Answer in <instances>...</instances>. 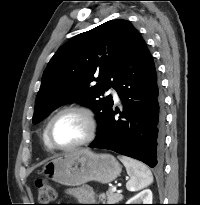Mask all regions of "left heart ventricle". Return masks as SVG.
Instances as JSON below:
<instances>
[{
    "label": "left heart ventricle",
    "mask_w": 200,
    "mask_h": 205,
    "mask_svg": "<svg viewBox=\"0 0 200 205\" xmlns=\"http://www.w3.org/2000/svg\"><path fill=\"white\" fill-rule=\"evenodd\" d=\"M87 126L84 118L77 113H65L53 124L52 138L58 145H72L86 135Z\"/></svg>",
    "instance_id": "1"
}]
</instances>
